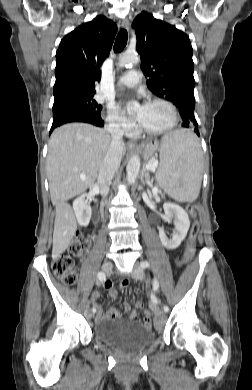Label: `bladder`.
Masks as SVG:
<instances>
[{"label": "bladder", "instance_id": "1", "mask_svg": "<svg viewBox=\"0 0 252 390\" xmlns=\"http://www.w3.org/2000/svg\"><path fill=\"white\" fill-rule=\"evenodd\" d=\"M94 337L104 345L125 354L136 353L148 347L155 339L152 329L127 321L104 319L94 325Z\"/></svg>", "mask_w": 252, "mask_h": 390}]
</instances>
